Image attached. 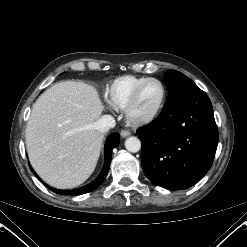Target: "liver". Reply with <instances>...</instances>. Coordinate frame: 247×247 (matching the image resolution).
<instances>
[{
	"mask_svg": "<svg viewBox=\"0 0 247 247\" xmlns=\"http://www.w3.org/2000/svg\"><path fill=\"white\" fill-rule=\"evenodd\" d=\"M103 106L97 90L86 83L60 82L33 105L26 127L32 167L49 185L69 189L93 173L103 142L95 123Z\"/></svg>",
	"mask_w": 247,
	"mask_h": 247,
	"instance_id": "6515ba94",
	"label": "liver"
}]
</instances>
